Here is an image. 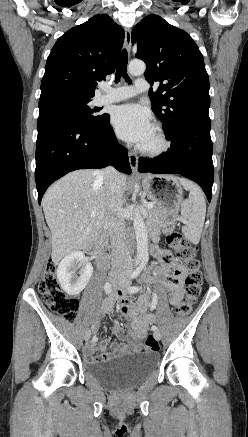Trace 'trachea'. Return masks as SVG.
<instances>
[{
	"instance_id": "obj_1",
	"label": "trachea",
	"mask_w": 248,
	"mask_h": 437,
	"mask_svg": "<svg viewBox=\"0 0 248 437\" xmlns=\"http://www.w3.org/2000/svg\"><path fill=\"white\" fill-rule=\"evenodd\" d=\"M127 62H128V53L126 49H123L116 69L115 82L119 81L121 77H123L126 81L130 82L127 74Z\"/></svg>"
}]
</instances>
